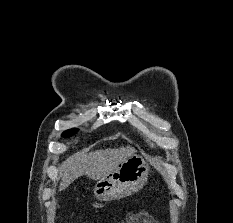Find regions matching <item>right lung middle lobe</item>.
I'll return each instance as SVG.
<instances>
[{
	"instance_id": "right-lung-middle-lobe-1",
	"label": "right lung middle lobe",
	"mask_w": 233,
	"mask_h": 223,
	"mask_svg": "<svg viewBox=\"0 0 233 223\" xmlns=\"http://www.w3.org/2000/svg\"><path fill=\"white\" fill-rule=\"evenodd\" d=\"M77 131H78L77 129L68 130V131L64 132V133L62 134V136L68 138V137L74 135Z\"/></svg>"
}]
</instances>
